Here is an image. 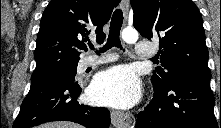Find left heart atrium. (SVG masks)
I'll use <instances>...</instances> for the list:
<instances>
[{
  "label": "left heart atrium",
  "mask_w": 221,
  "mask_h": 128,
  "mask_svg": "<svg viewBox=\"0 0 221 128\" xmlns=\"http://www.w3.org/2000/svg\"><path fill=\"white\" fill-rule=\"evenodd\" d=\"M89 97L101 105L129 108L140 97V84L125 66H116L100 73L89 89Z\"/></svg>",
  "instance_id": "1"
}]
</instances>
